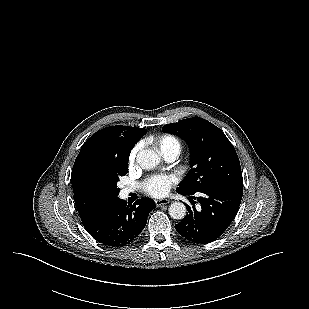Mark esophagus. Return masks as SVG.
I'll return each instance as SVG.
<instances>
[{"instance_id": "obj_1", "label": "esophagus", "mask_w": 309, "mask_h": 309, "mask_svg": "<svg viewBox=\"0 0 309 309\" xmlns=\"http://www.w3.org/2000/svg\"><path fill=\"white\" fill-rule=\"evenodd\" d=\"M170 203V200L168 199H159V200H155V204L157 207H160L162 205H167Z\"/></svg>"}]
</instances>
